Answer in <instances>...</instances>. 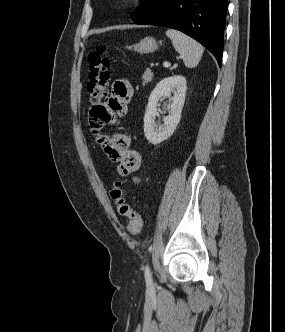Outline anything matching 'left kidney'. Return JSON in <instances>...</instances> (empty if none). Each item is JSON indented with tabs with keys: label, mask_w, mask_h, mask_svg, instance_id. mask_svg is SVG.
Here are the masks:
<instances>
[{
	"label": "left kidney",
	"mask_w": 285,
	"mask_h": 332,
	"mask_svg": "<svg viewBox=\"0 0 285 332\" xmlns=\"http://www.w3.org/2000/svg\"><path fill=\"white\" fill-rule=\"evenodd\" d=\"M186 89L185 77L182 75H174L162 79L151 92L144 116V134L151 144H160L174 133L181 118ZM171 94H173V96H171ZM164 97L171 99V111L170 114L164 118V125L158 127L155 125L157 105Z\"/></svg>",
	"instance_id": "5707ae66"
}]
</instances>
